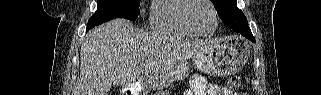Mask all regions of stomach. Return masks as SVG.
Listing matches in <instances>:
<instances>
[{
	"label": "stomach",
	"mask_w": 321,
	"mask_h": 95,
	"mask_svg": "<svg viewBox=\"0 0 321 95\" xmlns=\"http://www.w3.org/2000/svg\"><path fill=\"white\" fill-rule=\"evenodd\" d=\"M249 47L238 38L213 40L207 42L192 56L194 66L201 72L227 76L240 70L249 57ZM190 66L182 62L164 74L158 76L149 88H161L172 81L182 80L189 74Z\"/></svg>",
	"instance_id": "0dacf381"
}]
</instances>
